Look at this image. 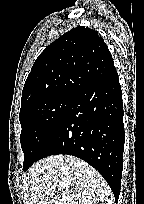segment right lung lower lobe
Here are the masks:
<instances>
[{"label":"right lung lower lobe","mask_w":144,"mask_h":204,"mask_svg":"<svg viewBox=\"0 0 144 204\" xmlns=\"http://www.w3.org/2000/svg\"><path fill=\"white\" fill-rule=\"evenodd\" d=\"M124 142L122 91L115 70L76 94L38 160L56 154L83 159L105 178L117 202Z\"/></svg>","instance_id":"98d812e1"}]
</instances>
